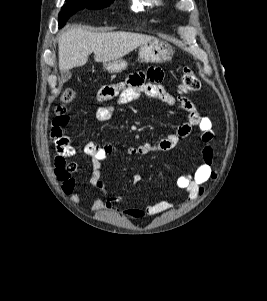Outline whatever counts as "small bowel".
Segmentation results:
<instances>
[{"label":"small bowel","mask_w":267,"mask_h":301,"mask_svg":"<svg viewBox=\"0 0 267 301\" xmlns=\"http://www.w3.org/2000/svg\"><path fill=\"white\" fill-rule=\"evenodd\" d=\"M163 79L164 74L160 69L150 68L146 71L132 73L122 82L102 86L96 93L98 107L95 116L99 121L109 120L114 114V107L108 104L112 100H116L119 105H124L144 95L164 102L170 107L176 106L179 102L181 107L188 113L187 122L181 124L171 134L158 142L147 141L138 146L129 147L126 152L129 155H145L170 151L177 146L181 139L190 134L192 127H198L201 132V141L204 144L201 161L193 171L184 173L175 180V186L186 193L188 201H193L201 196L203 185L216 176L212 168L213 151L210 147V143L214 138L213 123L210 118L200 114L191 100L185 97H174L168 93L161 85ZM68 122L69 116L65 106L59 105L55 110V118L51 128V139L56 147L54 171L63 192L76 203L78 202V194L76 193L73 175L77 172L78 167L75 162L67 161L76 151L69 138L63 133V129ZM83 151L92 160V174L89 184L103 194V198L96 202V209L115 211L116 205L122 202V198L109 194L101 178L100 171L103 161L116 153L118 149L109 143L100 144L90 141L85 144ZM141 181V175L136 174L133 177L134 184H139ZM171 207V200L164 199L147 204L143 209L128 208L123 213L133 218H142L160 215Z\"/></svg>","instance_id":"small-bowel-1"}]
</instances>
